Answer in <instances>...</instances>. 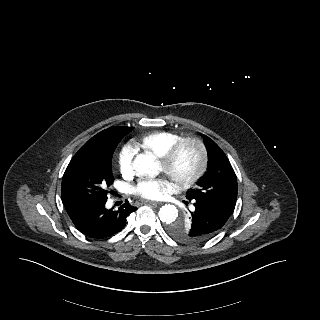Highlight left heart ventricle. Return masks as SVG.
Masks as SVG:
<instances>
[{
  "label": "left heart ventricle",
  "mask_w": 320,
  "mask_h": 320,
  "mask_svg": "<svg viewBox=\"0 0 320 320\" xmlns=\"http://www.w3.org/2000/svg\"><path fill=\"white\" fill-rule=\"evenodd\" d=\"M198 166V152L193 145H186L173 168V172L177 178H185L192 174ZM164 169V168H163Z\"/></svg>",
  "instance_id": "b2bd125f"
}]
</instances>
